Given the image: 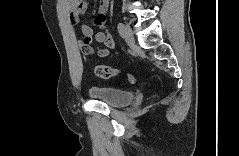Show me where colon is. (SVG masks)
Masks as SVG:
<instances>
[{"label": "colon", "mask_w": 239, "mask_h": 156, "mask_svg": "<svg viewBox=\"0 0 239 156\" xmlns=\"http://www.w3.org/2000/svg\"><path fill=\"white\" fill-rule=\"evenodd\" d=\"M95 73L98 77L103 79H110L123 76L128 83L133 84L135 82V79L132 75L122 74L120 71L105 65L96 66Z\"/></svg>", "instance_id": "1"}]
</instances>
